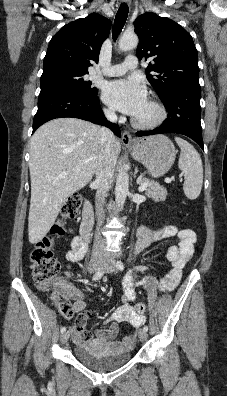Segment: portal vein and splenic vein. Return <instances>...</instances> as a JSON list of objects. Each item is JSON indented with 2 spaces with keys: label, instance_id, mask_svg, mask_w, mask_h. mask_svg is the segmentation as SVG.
I'll use <instances>...</instances> for the list:
<instances>
[{
  "label": "portal vein and splenic vein",
  "instance_id": "obj_1",
  "mask_svg": "<svg viewBox=\"0 0 227 396\" xmlns=\"http://www.w3.org/2000/svg\"><path fill=\"white\" fill-rule=\"evenodd\" d=\"M148 184L147 183H141L139 186V192L144 191L147 188Z\"/></svg>",
  "mask_w": 227,
  "mask_h": 396
}]
</instances>
